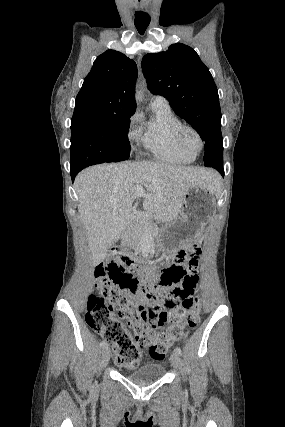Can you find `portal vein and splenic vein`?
<instances>
[{
    "label": "portal vein and splenic vein",
    "instance_id": "obj_1",
    "mask_svg": "<svg viewBox=\"0 0 285 427\" xmlns=\"http://www.w3.org/2000/svg\"><path fill=\"white\" fill-rule=\"evenodd\" d=\"M137 190L140 192V194H143V190L140 187H137Z\"/></svg>",
    "mask_w": 285,
    "mask_h": 427
}]
</instances>
